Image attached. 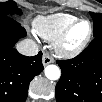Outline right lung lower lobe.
<instances>
[{"instance_id": "1", "label": "right lung lower lobe", "mask_w": 102, "mask_h": 102, "mask_svg": "<svg viewBox=\"0 0 102 102\" xmlns=\"http://www.w3.org/2000/svg\"><path fill=\"white\" fill-rule=\"evenodd\" d=\"M26 36V31L11 17L0 19V100L24 102L34 76L43 70L42 53L27 57L15 48V43Z\"/></svg>"}]
</instances>
